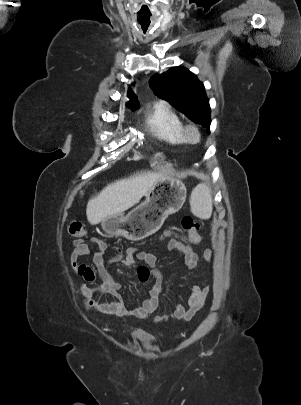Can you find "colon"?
<instances>
[{
    "label": "colon",
    "instance_id": "1",
    "mask_svg": "<svg viewBox=\"0 0 301 405\" xmlns=\"http://www.w3.org/2000/svg\"><path fill=\"white\" fill-rule=\"evenodd\" d=\"M182 227L187 232V236L182 238L184 243H188L189 246L198 247L202 242V237L199 235L200 224L192 217L185 216L181 221ZM68 233L75 237H82L85 235V229L80 221L71 220L68 224ZM183 243V244H184ZM90 306H95V303L89 301Z\"/></svg>",
    "mask_w": 301,
    "mask_h": 405
}]
</instances>
